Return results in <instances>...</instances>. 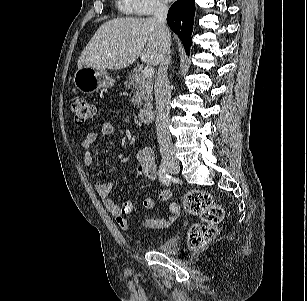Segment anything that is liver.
<instances>
[{
    "label": "liver",
    "instance_id": "1",
    "mask_svg": "<svg viewBox=\"0 0 307 301\" xmlns=\"http://www.w3.org/2000/svg\"><path fill=\"white\" fill-rule=\"evenodd\" d=\"M162 50L161 30L155 18H115L99 27L82 51L77 67L122 69L139 57L142 62L158 65Z\"/></svg>",
    "mask_w": 307,
    "mask_h": 301
}]
</instances>
